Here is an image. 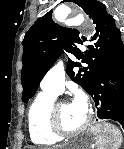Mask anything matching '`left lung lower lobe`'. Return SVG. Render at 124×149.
Listing matches in <instances>:
<instances>
[{
  "mask_svg": "<svg viewBox=\"0 0 124 149\" xmlns=\"http://www.w3.org/2000/svg\"><path fill=\"white\" fill-rule=\"evenodd\" d=\"M91 95L99 119H111L124 128V55L102 67L86 90Z\"/></svg>",
  "mask_w": 124,
  "mask_h": 149,
  "instance_id": "obj_1",
  "label": "left lung lower lobe"
}]
</instances>
